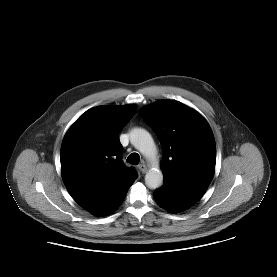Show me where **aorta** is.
<instances>
[{
	"label": "aorta",
	"instance_id": "762f6f07",
	"mask_svg": "<svg viewBox=\"0 0 277 277\" xmlns=\"http://www.w3.org/2000/svg\"><path fill=\"white\" fill-rule=\"evenodd\" d=\"M130 142L153 164L145 175L146 185L150 189L159 188L163 184V173L156 161L157 149L152 136L145 129L134 128L130 132Z\"/></svg>",
	"mask_w": 277,
	"mask_h": 277
}]
</instances>
